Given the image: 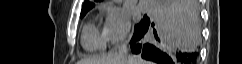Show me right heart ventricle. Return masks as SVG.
Segmentation results:
<instances>
[{
    "mask_svg": "<svg viewBox=\"0 0 242 64\" xmlns=\"http://www.w3.org/2000/svg\"><path fill=\"white\" fill-rule=\"evenodd\" d=\"M82 46L90 52L101 51L106 46L105 37L93 22L87 23L82 31Z\"/></svg>",
    "mask_w": 242,
    "mask_h": 64,
    "instance_id": "right-heart-ventricle-1",
    "label": "right heart ventricle"
}]
</instances>
